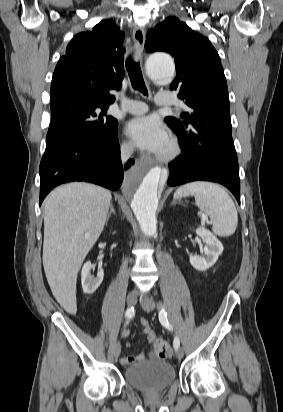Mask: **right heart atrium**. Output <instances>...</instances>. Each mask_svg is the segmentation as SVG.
<instances>
[{"label": "right heart atrium", "instance_id": "1", "mask_svg": "<svg viewBox=\"0 0 283 412\" xmlns=\"http://www.w3.org/2000/svg\"><path fill=\"white\" fill-rule=\"evenodd\" d=\"M133 150H134V146L132 145V143L128 141H123L120 145L121 154L125 157L130 156Z\"/></svg>", "mask_w": 283, "mask_h": 412}]
</instances>
